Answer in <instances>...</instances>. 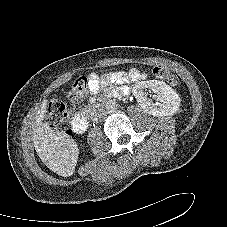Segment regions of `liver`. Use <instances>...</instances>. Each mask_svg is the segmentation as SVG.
I'll return each mask as SVG.
<instances>
[{
    "label": "liver",
    "mask_w": 227,
    "mask_h": 227,
    "mask_svg": "<svg viewBox=\"0 0 227 227\" xmlns=\"http://www.w3.org/2000/svg\"><path fill=\"white\" fill-rule=\"evenodd\" d=\"M47 100H43L36 113L33 143L41 161L53 172L68 177L74 173L79 149L74 140L62 132L54 131L42 122L47 112Z\"/></svg>",
    "instance_id": "liver-1"
}]
</instances>
